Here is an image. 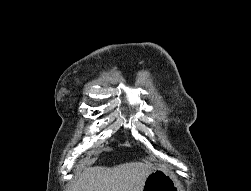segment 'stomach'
<instances>
[{"mask_svg":"<svg viewBox=\"0 0 251 191\" xmlns=\"http://www.w3.org/2000/svg\"><path fill=\"white\" fill-rule=\"evenodd\" d=\"M143 191H178V185L172 175H168L163 169H154L152 173H148Z\"/></svg>","mask_w":251,"mask_h":191,"instance_id":"stomach-1","label":"stomach"}]
</instances>
